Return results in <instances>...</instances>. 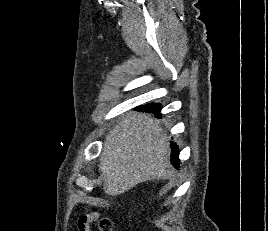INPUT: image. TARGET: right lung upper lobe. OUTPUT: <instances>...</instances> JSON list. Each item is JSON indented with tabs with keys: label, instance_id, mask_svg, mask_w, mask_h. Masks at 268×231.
Here are the masks:
<instances>
[{
	"label": "right lung upper lobe",
	"instance_id": "right-lung-upper-lobe-1",
	"mask_svg": "<svg viewBox=\"0 0 268 231\" xmlns=\"http://www.w3.org/2000/svg\"><path fill=\"white\" fill-rule=\"evenodd\" d=\"M143 107L151 111H159L161 109V106L159 104H148Z\"/></svg>",
	"mask_w": 268,
	"mask_h": 231
}]
</instances>
